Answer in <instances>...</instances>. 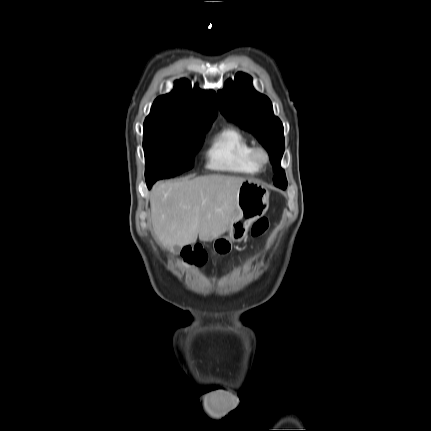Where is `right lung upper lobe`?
I'll list each match as a JSON object with an SVG mask.
<instances>
[{
    "label": "right lung upper lobe",
    "mask_w": 431,
    "mask_h": 431,
    "mask_svg": "<svg viewBox=\"0 0 431 431\" xmlns=\"http://www.w3.org/2000/svg\"><path fill=\"white\" fill-rule=\"evenodd\" d=\"M217 116L216 95L202 91L197 86L192 90L186 79L175 82L171 93L158 97L145 122H157L190 128L211 126Z\"/></svg>",
    "instance_id": "right-lung-upper-lobe-1"
}]
</instances>
